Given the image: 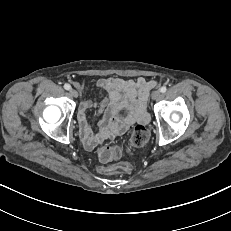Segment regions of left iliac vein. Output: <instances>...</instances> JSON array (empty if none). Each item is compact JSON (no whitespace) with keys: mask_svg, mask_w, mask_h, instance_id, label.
<instances>
[{"mask_svg":"<svg viewBox=\"0 0 231 231\" xmlns=\"http://www.w3.org/2000/svg\"><path fill=\"white\" fill-rule=\"evenodd\" d=\"M161 96V93L159 90H155L152 92L151 97L153 100H158Z\"/></svg>","mask_w":231,"mask_h":231,"instance_id":"obj_1","label":"left iliac vein"}]
</instances>
